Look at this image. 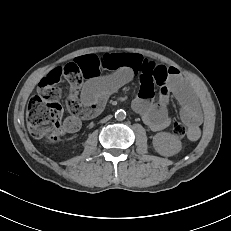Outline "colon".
<instances>
[{"label":"colon","mask_w":231,"mask_h":231,"mask_svg":"<svg viewBox=\"0 0 231 231\" xmlns=\"http://www.w3.org/2000/svg\"><path fill=\"white\" fill-rule=\"evenodd\" d=\"M61 90L55 83L42 80L38 93L30 99L26 112L28 130L33 137L45 142L59 140L63 132V110L59 103ZM172 133L178 138L188 134L185 124L174 121Z\"/></svg>","instance_id":"1"}]
</instances>
